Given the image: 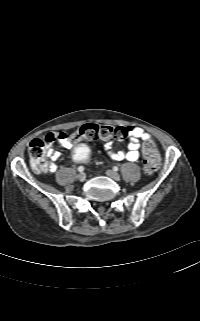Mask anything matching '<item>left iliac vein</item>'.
<instances>
[{"label": "left iliac vein", "mask_w": 200, "mask_h": 321, "mask_svg": "<svg viewBox=\"0 0 200 321\" xmlns=\"http://www.w3.org/2000/svg\"><path fill=\"white\" fill-rule=\"evenodd\" d=\"M106 174H107V176H109L110 178H112V179H114L116 181L120 180V175L117 172L113 171V170H107Z\"/></svg>", "instance_id": "obj_1"}]
</instances>
